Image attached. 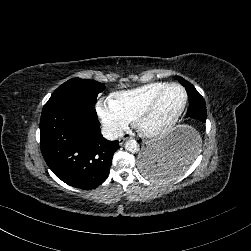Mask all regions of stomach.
Masks as SVG:
<instances>
[{"label": "stomach", "mask_w": 251, "mask_h": 251, "mask_svg": "<svg viewBox=\"0 0 251 251\" xmlns=\"http://www.w3.org/2000/svg\"><path fill=\"white\" fill-rule=\"evenodd\" d=\"M199 138L193 127L178 125L163 138L146 142L139 157L143 175L148 180L161 181L184 173L198 157Z\"/></svg>", "instance_id": "1"}]
</instances>
